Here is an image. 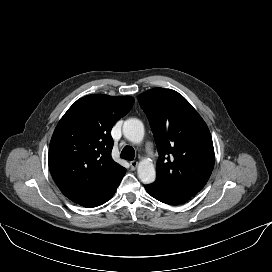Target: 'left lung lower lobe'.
<instances>
[{
	"label": "left lung lower lobe",
	"mask_w": 272,
	"mask_h": 272,
	"mask_svg": "<svg viewBox=\"0 0 272 272\" xmlns=\"http://www.w3.org/2000/svg\"><path fill=\"white\" fill-rule=\"evenodd\" d=\"M145 189L148 192V194L151 195L153 198L169 205H177L184 203L192 197L189 195L180 194L176 192L158 190L151 187L150 185H146Z\"/></svg>",
	"instance_id": "left-lung-lower-lobe-1"
}]
</instances>
